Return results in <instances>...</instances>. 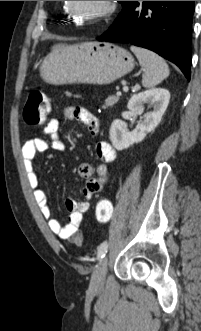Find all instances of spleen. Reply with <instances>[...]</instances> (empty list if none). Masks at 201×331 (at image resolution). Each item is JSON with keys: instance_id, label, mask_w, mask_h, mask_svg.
<instances>
[{"instance_id": "3e777b00", "label": "spleen", "mask_w": 201, "mask_h": 331, "mask_svg": "<svg viewBox=\"0 0 201 331\" xmlns=\"http://www.w3.org/2000/svg\"><path fill=\"white\" fill-rule=\"evenodd\" d=\"M130 49L145 69L142 75L143 87L152 88L169 76V67L161 56L137 46H131Z\"/></svg>"}]
</instances>
